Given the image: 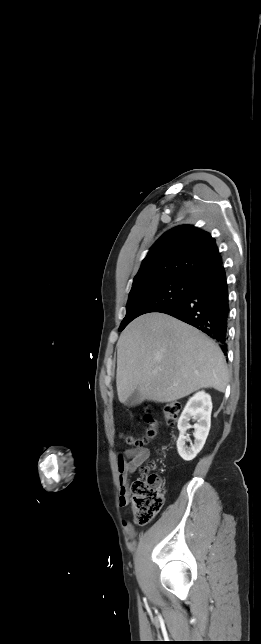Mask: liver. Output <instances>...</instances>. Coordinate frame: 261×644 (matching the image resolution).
Here are the masks:
<instances>
[{
    "mask_svg": "<svg viewBox=\"0 0 261 644\" xmlns=\"http://www.w3.org/2000/svg\"><path fill=\"white\" fill-rule=\"evenodd\" d=\"M228 380L219 346L167 314L139 316L117 342L116 386L121 403L135 390L140 401L159 403L176 401L201 388L224 392Z\"/></svg>",
    "mask_w": 261,
    "mask_h": 644,
    "instance_id": "6515ba94",
    "label": "liver"
}]
</instances>
